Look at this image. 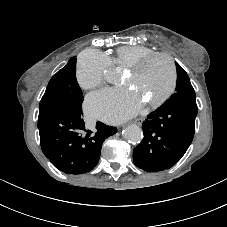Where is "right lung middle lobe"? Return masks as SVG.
I'll return each instance as SVG.
<instances>
[{
	"label": "right lung middle lobe",
	"mask_w": 227,
	"mask_h": 227,
	"mask_svg": "<svg viewBox=\"0 0 227 227\" xmlns=\"http://www.w3.org/2000/svg\"><path fill=\"white\" fill-rule=\"evenodd\" d=\"M83 94L76 80V58L72 57L49 81L40 101L39 118L62 109L82 110Z\"/></svg>",
	"instance_id": "obj_1"
}]
</instances>
